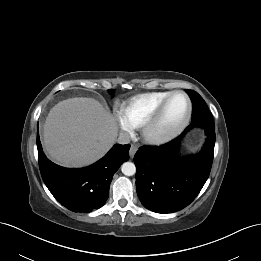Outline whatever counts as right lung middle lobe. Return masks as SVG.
I'll use <instances>...</instances> for the list:
<instances>
[{
	"mask_svg": "<svg viewBox=\"0 0 261 261\" xmlns=\"http://www.w3.org/2000/svg\"><path fill=\"white\" fill-rule=\"evenodd\" d=\"M108 92H109L110 94H114L113 89H109Z\"/></svg>",
	"mask_w": 261,
	"mask_h": 261,
	"instance_id": "right-lung-middle-lobe-1",
	"label": "right lung middle lobe"
}]
</instances>
